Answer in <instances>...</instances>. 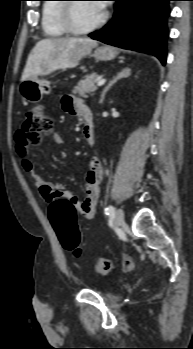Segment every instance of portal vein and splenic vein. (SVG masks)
<instances>
[{
  "label": "portal vein and splenic vein",
  "mask_w": 193,
  "mask_h": 349,
  "mask_svg": "<svg viewBox=\"0 0 193 349\" xmlns=\"http://www.w3.org/2000/svg\"><path fill=\"white\" fill-rule=\"evenodd\" d=\"M105 82H106V79L101 78V79H99V80H98V82H97V86H102V85H104V84H105Z\"/></svg>",
  "instance_id": "18ae733b"
}]
</instances>
